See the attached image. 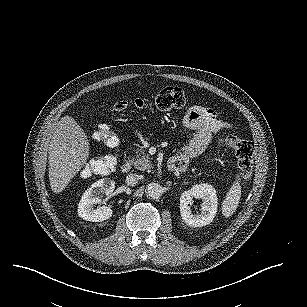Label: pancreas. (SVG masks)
<instances>
[{"mask_svg": "<svg viewBox=\"0 0 307 307\" xmlns=\"http://www.w3.org/2000/svg\"><path fill=\"white\" fill-rule=\"evenodd\" d=\"M128 160L133 164L135 169L140 171L149 170L153 167L150 155L142 148L134 157H129Z\"/></svg>", "mask_w": 307, "mask_h": 307, "instance_id": "obj_1", "label": "pancreas"}]
</instances>
